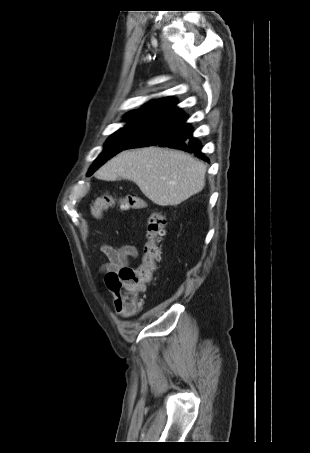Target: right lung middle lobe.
<instances>
[{
  "mask_svg": "<svg viewBox=\"0 0 310 453\" xmlns=\"http://www.w3.org/2000/svg\"><path fill=\"white\" fill-rule=\"evenodd\" d=\"M157 118L153 117H128V123L112 134L104 145L103 152L91 166L88 176L103 165L108 159L122 151L133 139L141 134Z\"/></svg>",
  "mask_w": 310,
  "mask_h": 453,
  "instance_id": "right-lung-middle-lobe-1",
  "label": "right lung middle lobe"
}]
</instances>
